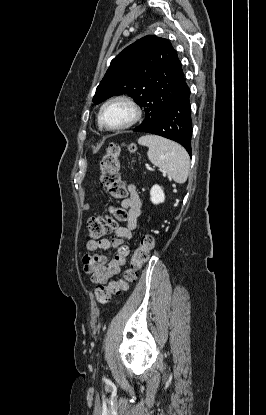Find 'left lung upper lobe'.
I'll return each instance as SVG.
<instances>
[{
    "label": "left lung upper lobe",
    "mask_w": 266,
    "mask_h": 415,
    "mask_svg": "<svg viewBox=\"0 0 266 415\" xmlns=\"http://www.w3.org/2000/svg\"><path fill=\"white\" fill-rule=\"evenodd\" d=\"M182 64L171 43L145 36L126 47L110 64L98 85L93 102L128 94L145 111L144 121L134 130L154 123L185 86Z\"/></svg>",
    "instance_id": "obj_1"
}]
</instances>
